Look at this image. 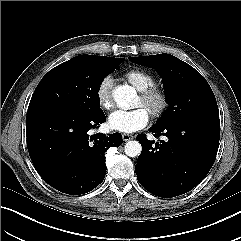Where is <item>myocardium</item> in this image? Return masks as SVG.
Instances as JSON below:
<instances>
[{
  "instance_id": "myocardium-1",
  "label": "myocardium",
  "mask_w": 241,
  "mask_h": 241,
  "mask_svg": "<svg viewBox=\"0 0 241 241\" xmlns=\"http://www.w3.org/2000/svg\"><path fill=\"white\" fill-rule=\"evenodd\" d=\"M139 97L149 113L155 118L162 116L169 105L165 90L155 85L140 91Z\"/></svg>"
}]
</instances>
